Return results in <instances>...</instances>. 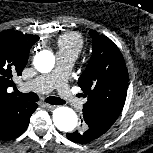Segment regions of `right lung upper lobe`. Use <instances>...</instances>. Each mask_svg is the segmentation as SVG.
Segmentation results:
<instances>
[{
	"label": "right lung upper lobe",
	"instance_id": "cb5924a9",
	"mask_svg": "<svg viewBox=\"0 0 153 153\" xmlns=\"http://www.w3.org/2000/svg\"><path fill=\"white\" fill-rule=\"evenodd\" d=\"M38 40V35L12 30L0 32V130L29 103L9 94L7 89L16 86L13 78L21 75L28 61L29 50Z\"/></svg>",
	"mask_w": 153,
	"mask_h": 153
}]
</instances>
